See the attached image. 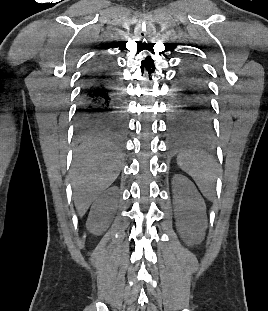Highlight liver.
Listing matches in <instances>:
<instances>
[{"mask_svg": "<svg viewBox=\"0 0 268 311\" xmlns=\"http://www.w3.org/2000/svg\"><path fill=\"white\" fill-rule=\"evenodd\" d=\"M121 158L109 146L79 150L73 161L74 203L82 217L91 203L117 178Z\"/></svg>", "mask_w": 268, "mask_h": 311, "instance_id": "1", "label": "liver"}]
</instances>
